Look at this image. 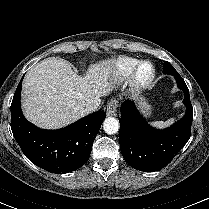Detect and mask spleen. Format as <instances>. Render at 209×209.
I'll use <instances>...</instances> for the list:
<instances>
[{
    "label": "spleen",
    "mask_w": 209,
    "mask_h": 209,
    "mask_svg": "<svg viewBox=\"0 0 209 209\" xmlns=\"http://www.w3.org/2000/svg\"><path fill=\"white\" fill-rule=\"evenodd\" d=\"M174 121H175L174 118H170V119H168L165 122H163V121H155V122H152L151 125L153 127H156V128L161 129V128L170 126L171 124H173Z\"/></svg>",
    "instance_id": "1"
}]
</instances>
